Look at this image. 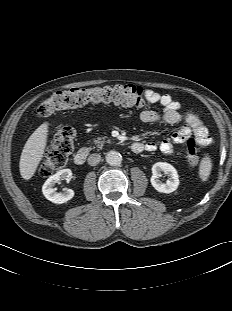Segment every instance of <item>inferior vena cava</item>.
<instances>
[{
  "label": "inferior vena cava",
  "mask_w": 232,
  "mask_h": 311,
  "mask_svg": "<svg viewBox=\"0 0 232 311\" xmlns=\"http://www.w3.org/2000/svg\"><path fill=\"white\" fill-rule=\"evenodd\" d=\"M100 161H101V155L99 154L94 153L88 157V164L91 166H96Z\"/></svg>",
  "instance_id": "1"
}]
</instances>
